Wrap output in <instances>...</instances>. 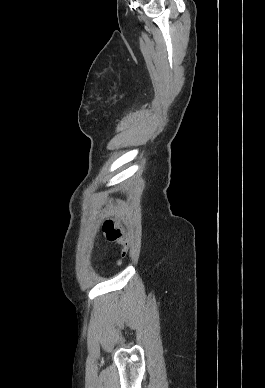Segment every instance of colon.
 <instances>
[{"instance_id":"1","label":"colon","mask_w":265,"mask_h":388,"mask_svg":"<svg viewBox=\"0 0 265 388\" xmlns=\"http://www.w3.org/2000/svg\"><path fill=\"white\" fill-rule=\"evenodd\" d=\"M103 231L109 241L118 242L123 246L121 259L125 258L129 249V240L116 220L113 218L107 219L103 224Z\"/></svg>"}]
</instances>
